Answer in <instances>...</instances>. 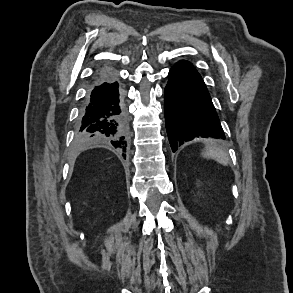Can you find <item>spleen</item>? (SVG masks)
Masks as SVG:
<instances>
[{"mask_svg":"<svg viewBox=\"0 0 293 293\" xmlns=\"http://www.w3.org/2000/svg\"><path fill=\"white\" fill-rule=\"evenodd\" d=\"M204 158L213 159L216 162L227 166L229 164V156L227 152L220 146L208 144L202 152Z\"/></svg>","mask_w":293,"mask_h":293,"instance_id":"spleen-1","label":"spleen"}]
</instances>
